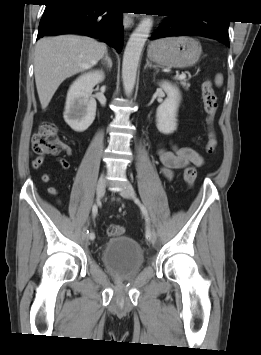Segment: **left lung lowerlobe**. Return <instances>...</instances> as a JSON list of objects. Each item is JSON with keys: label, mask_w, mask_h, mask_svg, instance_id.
Returning <instances> with one entry per match:
<instances>
[{"label": "left lung lower lobe", "mask_w": 261, "mask_h": 355, "mask_svg": "<svg viewBox=\"0 0 261 355\" xmlns=\"http://www.w3.org/2000/svg\"><path fill=\"white\" fill-rule=\"evenodd\" d=\"M229 21L224 19H200L169 15L152 34L151 39L169 36H204L229 46Z\"/></svg>", "instance_id": "left-lung-lower-lobe-1"}]
</instances>
